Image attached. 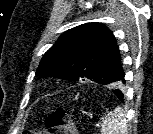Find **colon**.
<instances>
[{
	"instance_id": "1",
	"label": "colon",
	"mask_w": 153,
	"mask_h": 134,
	"mask_svg": "<svg viewBox=\"0 0 153 134\" xmlns=\"http://www.w3.org/2000/svg\"><path fill=\"white\" fill-rule=\"evenodd\" d=\"M46 131L33 132L27 131L24 134H76L74 124L70 120L67 112L62 109H58L51 113L46 118Z\"/></svg>"
}]
</instances>
